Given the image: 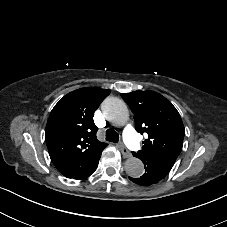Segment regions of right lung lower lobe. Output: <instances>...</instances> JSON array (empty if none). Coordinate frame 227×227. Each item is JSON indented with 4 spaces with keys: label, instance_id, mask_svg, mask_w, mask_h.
<instances>
[{
    "label": "right lung lower lobe",
    "instance_id": "98d812e1",
    "mask_svg": "<svg viewBox=\"0 0 227 227\" xmlns=\"http://www.w3.org/2000/svg\"><path fill=\"white\" fill-rule=\"evenodd\" d=\"M100 157L89 160L86 153H81L70 164L57 170L67 178L85 179L97 169Z\"/></svg>",
    "mask_w": 227,
    "mask_h": 227
}]
</instances>
